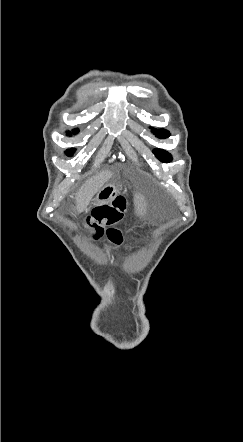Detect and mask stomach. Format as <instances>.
I'll return each mask as SVG.
<instances>
[{"label": "stomach", "mask_w": 243, "mask_h": 442, "mask_svg": "<svg viewBox=\"0 0 243 442\" xmlns=\"http://www.w3.org/2000/svg\"><path fill=\"white\" fill-rule=\"evenodd\" d=\"M118 194V188L115 184H107L98 192L94 199V205H102L110 202Z\"/></svg>", "instance_id": "1"}]
</instances>
